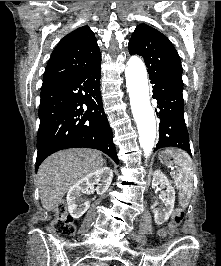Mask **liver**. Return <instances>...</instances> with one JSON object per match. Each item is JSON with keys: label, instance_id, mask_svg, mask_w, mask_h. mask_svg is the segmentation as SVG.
I'll use <instances>...</instances> for the list:
<instances>
[{"label": "liver", "instance_id": "6515ba94", "mask_svg": "<svg viewBox=\"0 0 221 266\" xmlns=\"http://www.w3.org/2000/svg\"><path fill=\"white\" fill-rule=\"evenodd\" d=\"M104 164L101 152L93 149H68L48 157L37 177L44 209L53 211L73 184Z\"/></svg>", "mask_w": 221, "mask_h": 266}]
</instances>
